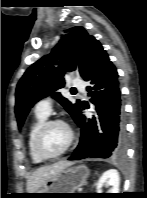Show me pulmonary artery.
Wrapping results in <instances>:
<instances>
[{
  "label": "pulmonary artery",
  "instance_id": "pulmonary-artery-1",
  "mask_svg": "<svg viewBox=\"0 0 147 198\" xmlns=\"http://www.w3.org/2000/svg\"><path fill=\"white\" fill-rule=\"evenodd\" d=\"M72 85L77 88L80 92L85 93V85L79 80L75 79L72 82ZM52 111V99L50 97L45 98L39 101L35 107L36 114L49 116Z\"/></svg>",
  "mask_w": 147,
  "mask_h": 198
}]
</instances>
